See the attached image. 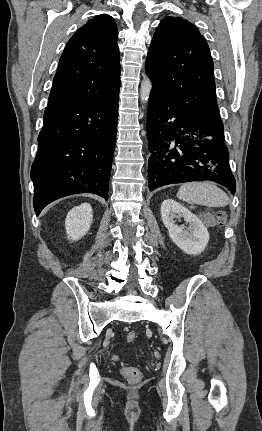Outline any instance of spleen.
Here are the masks:
<instances>
[{
    "label": "spleen",
    "instance_id": "obj_1",
    "mask_svg": "<svg viewBox=\"0 0 262 431\" xmlns=\"http://www.w3.org/2000/svg\"><path fill=\"white\" fill-rule=\"evenodd\" d=\"M177 197L189 204H199L208 207H224L229 204L227 194L209 182L183 184L177 192Z\"/></svg>",
    "mask_w": 262,
    "mask_h": 431
}]
</instances>
